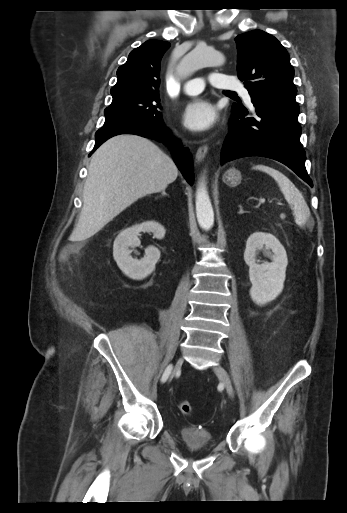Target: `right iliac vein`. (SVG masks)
<instances>
[{
    "instance_id": "63e3f726",
    "label": "right iliac vein",
    "mask_w": 347,
    "mask_h": 513,
    "mask_svg": "<svg viewBox=\"0 0 347 513\" xmlns=\"http://www.w3.org/2000/svg\"><path fill=\"white\" fill-rule=\"evenodd\" d=\"M182 363H183V359L182 358H179L173 368V371H172V375H171V378H173V376L178 372V370L180 369V367L182 366Z\"/></svg>"
}]
</instances>
